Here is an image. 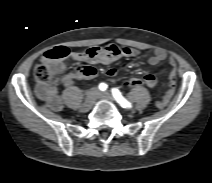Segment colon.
Masks as SVG:
<instances>
[{
    "instance_id": "1",
    "label": "colon",
    "mask_w": 212,
    "mask_h": 183,
    "mask_svg": "<svg viewBox=\"0 0 212 183\" xmlns=\"http://www.w3.org/2000/svg\"><path fill=\"white\" fill-rule=\"evenodd\" d=\"M69 55V50L66 47L58 46L48 50L45 53L46 58L49 62H61L66 59ZM82 68L78 67L77 70ZM61 76L60 72L55 71L51 68L50 63H40L34 68V77L35 80L42 86L50 85L55 79H58ZM146 85L144 79L132 77L125 82V87L127 89L133 87H139ZM147 86V85H146Z\"/></svg>"
}]
</instances>
